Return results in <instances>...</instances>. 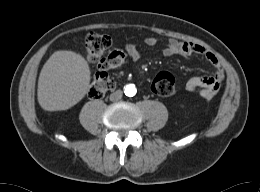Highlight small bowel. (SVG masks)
Segmentation results:
<instances>
[{"mask_svg": "<svg viewBox=\"0 0 260 192\" xmlns=\"http://www.w3.org/2000/svg\"><path fill=\"white\" fill-rule=\"evenodd\" d=\"M159 43L163 45L162 53L166 57L181 56L183 58H190L191 56L198 55L208 61L214 69L213 75L189 79L186 83V89L188 91H198L199 95L204 99H211L217 94L225 78V73L220 61L212 52L199 44L179 41L173 38L160 40L155 37H147L144 39V44L149 47H153ZM125 50L132 61H138L141 58V51L138 46L127 44Z\"/></svg>", "mask_w": 260, "mask_h": 192, "instance_id": "small-bowel-1", "label": "small bowel"}]
</instances>
